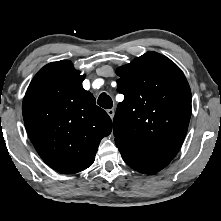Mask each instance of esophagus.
<instances>
[{"mask_svg": "<svg viewBox=\"0 0 221 221\" xmlns=\"http://www.w3.org/2000/svg\"><path fill=\"white\" fill-rule=\"evenodd\" d=\"M107 114L110 116V118L112 119L114 117V110L113 109H108L107 110Z\"/></svg>", "mask_w": 221, "mask_h": 221, "instance_id": "obj_1", "label": "esophagus"}]
</instances>
